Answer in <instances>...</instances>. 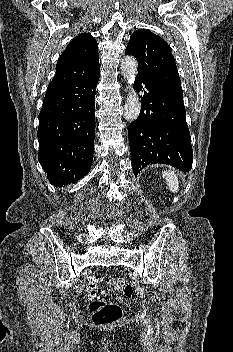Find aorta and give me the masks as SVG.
<instances>
[{
    "label": "aorta",
    "instance_id": "obj_1",
    "mask_svg": "<svg viewBox=\"0 0 233 352\" xmlns=\"http://www.w3.org/2000/svg\"><path fill=\"white\" fill-rule=\"evenodd\" d=\"M121 73L129 84V94L124 106V117L128 121H134L140 114L141 103L133 89L135 77L137 75V61L132 56H126L121 61Z\"/></svg>",
    "mask_w": 233,
    "mask_h": 352
}]
</instances>
